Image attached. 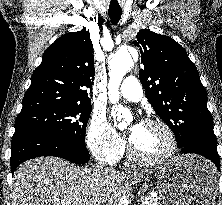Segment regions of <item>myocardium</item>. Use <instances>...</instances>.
Wrapping results in <instances>:
<instances>
[{"instance_id": "1", "label": "myocardium", "mask_w": 222, "mask_h": 205, "mask_svg": "<svg viewBox=\"0 0 222 205\" xmlns=\"http://www.w3.org/2000/svg\"><path fill=\"white\" fill-rule=\"evenodd\" d=\"M143 123H149V124H154L157 125L159 127H161L164 132L166 133L167 137H168V147L165 150L164 153H162L161 155L157 156V157H153V158H145L140 156L136 150L134 149L132 143H129L128 146V156L129 158L140 164V165H146V166H154V165H159V164H163L166 161H168L175 153L176 151V146H177V140H176V136L174 131L172 130V128L162 119L159 118H155V117H147L145 118L143 121Z\"/></svg>"}]
</instances>
